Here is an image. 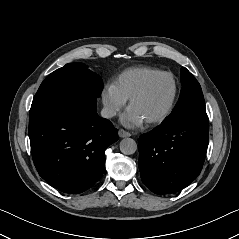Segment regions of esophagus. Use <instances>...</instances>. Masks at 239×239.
I'll use <instances>...</instances> for the list:
<instances>
[{
    "label": "esophagus",
    "instance_id": "34e87169",
    "mask_svg": "<svg viewBox=\"0 0 239 239\" xmlns=\"http://www.w3.org/2000/svg\"><path fill=\"white\" fill-rule=\"evenodd\" d=\"M118 135L121 138H125V137H130L131 136V134L129 132H127L126 130H124V129H120L118 131Z\"/></svg>",
    "mask_w": 239,
    "mask_h": 239
}]
</instances>
